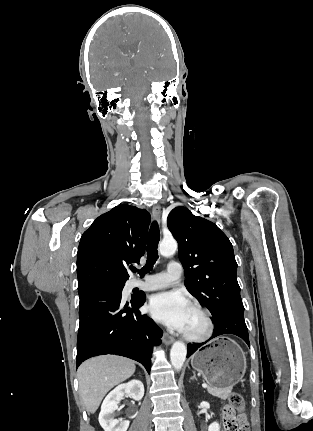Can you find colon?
Here are the masks:
<instances>
[{
    "mask_svg": "<svg viewBox=\"0 0 313 431\" xmlns=\"http://www.w3.org/2000/svg\"><path fill=\"white\" fill-rule=\"evenodd\" d=\"M244 411L245 402L243 396L238 392L231 393L228 398V404L223 410L226 431H246L247 425H240L233 419L236 413L244 414Z\"/></svg>",
    "mask_w": 313,
    "mask_h": 431,
    "instance_id": "obj_1",
    "label": "colon"
}]
</instances>
